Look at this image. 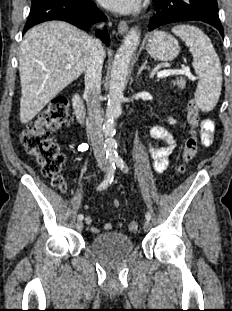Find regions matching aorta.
<instances>
[{"instance_id": "1", "label": "aorta", "mask_w": 232, "mask_h": 311, "mask_svg": "<svg viewBox=\"0 0 232 311\" xmlns=\"http://www.w3.org/2000/svg\"><path fill=\"white\" fill-rule=\"evenodd\" d=\"M140 42L138 27L132 28L125 36L119 47L111 69V79L108 94L106 116L103 124L105 136V148L110 159L118 157L117 142L114 139L116 133L115 120L121 115V102L126 84L129 65Z\"/></svg>"}]
</instances>
